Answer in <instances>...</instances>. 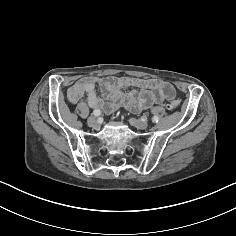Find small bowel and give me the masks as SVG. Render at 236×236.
Segmentation results:
<instances>
[{
	"instance_id": "obj_1",
	"label": "small bowel",
	"mask_w": 236,
	"mask_h": 236,
	"mask_svg": "<svg viewBox=\"0 0 236 236\" xmlns=\"http://www.w3.org/2000/svg\"><path fill=\"white\" fill-rule=\"evenodd\" d=\"M96 84H99L103 97L98 95ZM123 88H138L140 91L123 92ZM175 96V88L169 82L131 76L81 78L71 85L67 92L70 103L76 104L85 97L91 108L106 114L112 113L120 106L140 112L154 104L173 100Z\"/></svg>"
}]
</instances>
